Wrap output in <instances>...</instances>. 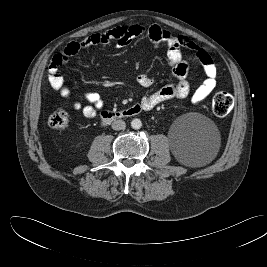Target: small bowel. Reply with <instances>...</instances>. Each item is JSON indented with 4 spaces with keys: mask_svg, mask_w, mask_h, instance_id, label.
I'll use <instances>...</instances> for the list:
<instances>
[{
    "mask_svg": "<svg viewBox=\"0 0 267 267\" xmlns=\"http://www.w3.org/2000/svg\"><path fill=\"white\" fill-rule=\"evenodd\" d=\"M139 36H147L155 48L162 44L166 45L167 61L172 69V76L174 78V81L154 93L145 95L141 99L140 105L143 107V110H151L167 100L173 98L183 99L189 95L190 83L187 80L189 66L184 60L183 49H189L194 53L206 75L202 84L194 91L192 102L198 104L204 101L215 89L217 85V68L211 56L189 38L175 36L156 24L146 26L141 24L121 25L104 33L93 34L80 42L69 43L52 58L48 69V81L51 87L57 91L61 98L70 99L71 91L65 85L60 70L70 57L77 54L80 50L92 46L116 43L117 46L122 47ZM137 82L144 88L152 87L155 83L154 79L146 74L138 75ZM82 96L88 103L83 104L79 101H74L72 103L73 109L80 112L87 119L96 117L104 106L100 95L96 92H83Z\"/></svg>",
    "mask_w": 267,
    "mask_h": 267,
    "instance_id": "obj_1",
    "label": "small bowel"
}]
</instances>
